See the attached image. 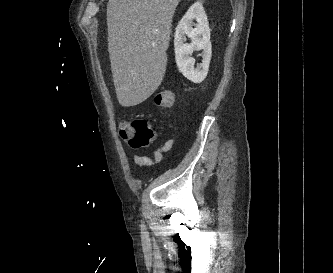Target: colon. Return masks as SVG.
I'll list each match as a JSON object with an SVG mask.
<instances>
[{
  "instance_id": "obj_1",
  "label": "colon",
  "mask_w": 333,
  "mask_h": 273,
  "mask_svg": "<svg viewBox=\"0 0 333 273\" xmlns=\"http://www.w3.org/2000/svg\"><path fill=\"white\" fill-rule=\"evenodd\" d=\"M156 104L163 109H171L175 104L174 93L163 89L155 96ZM120 136L135 149L146 148L152 144L155 132L145 119L122 120L118 125Z\"/></svg>"
}]
</instances>
